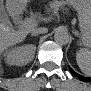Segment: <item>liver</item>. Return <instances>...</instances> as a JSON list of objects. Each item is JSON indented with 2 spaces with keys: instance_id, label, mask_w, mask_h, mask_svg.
Returning <instances> with one entry per match:
<instances>
[{
  "instance_id": "obj_1",
  "label": "liver",
  "mask_w": 91,
  "mask_h": 91,
  "mask_svg": "<svg viewBox=\"0 0 91 91\" xmlns=\"http://www.w3.org/2000/svg\"><path fill=\"white\" fill-rule=\"evenodd\" d=\"M60 4L61 2L58 3V5ZM4 17L6 24L1 25V32H0L1 52L12 45L22 42L26 38L28 33H30L31 30L35 28L37 25V22L34 19H29L23 22L18 31H15L11 27L10 22L7 19V16L5 15ZM34 53L35 50H31L30 53L27 54L26 58L19 66L25 65L28 62H30L34 57Z\"/></svg>"
}]
</instances>
